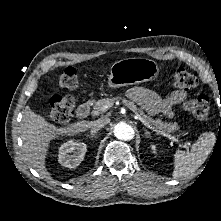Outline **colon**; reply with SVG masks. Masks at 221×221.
Masks as SVG:
<instances>
[{
	"instance_id": "1",
	"label": "colon",
	"mask_w": 221,
	"mask_h": 221,
	"mask_svg": "<svg viewBox=\"0 0 221 221\" xmlns=\"http://www.w3.org/2000/svg\"><path fill=\"white\" fill-rule=\"evenodd\" d=\"M172 83L176 89L187 91L196 86L197 80L186 70L177 69L172 74ZM57 85L63 89H76L80 85V75L75 68L68 67L59 76ZM183 107L195 118L203 120L209 114L210 103L208 97L201 95L184 102ZM74 109L75 101L70 95L55 94L50 98L49 117L54 122H68Z\"/></svg>"
}]
</instances>
